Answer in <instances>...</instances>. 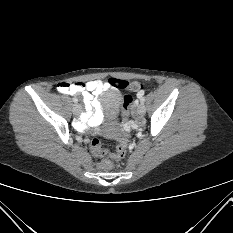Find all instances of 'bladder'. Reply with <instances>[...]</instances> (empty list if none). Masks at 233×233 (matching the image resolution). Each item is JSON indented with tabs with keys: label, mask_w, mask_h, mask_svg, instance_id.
<instances>
[{
	"label": "bladder",
	"mask_w": 233,
	"mask_h": 233,
	"mask_svg": "<svg viewBox=\"0 0 233 233\" xmlns=\"http://www.w3.org/2000/svg\"><path fill=\"white\" fill-rule=\"evenodd\" d=\"M105 103L112 109L113 112H117L121 103V94L116 90H109L105 96ZM112 135V133H108Z\"/></svg>",
	"instance_id": "31cf9c89"
}]
</instances>
